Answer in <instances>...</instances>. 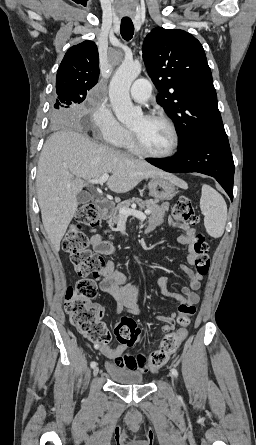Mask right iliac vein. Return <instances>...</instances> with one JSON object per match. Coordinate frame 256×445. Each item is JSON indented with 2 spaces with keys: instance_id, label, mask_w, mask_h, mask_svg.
<instances>
[{
  "instance_id": "obj_1",
  "label": "right iliac vein",
  "mask_w": 256,
  "mask_h": 445,
  "mask_svg": "<svg viewBox=\"0 0 256 445\" xmlns=\"http://www.w3.org/2000/svg\"><path fill=\"white\" fill-rule=\"evenodd\" d=\"M98 373H99V368H98V367H95V368L93 369V375H94V376H97Z\"/></svg>"
}]
</instances>
